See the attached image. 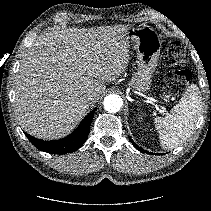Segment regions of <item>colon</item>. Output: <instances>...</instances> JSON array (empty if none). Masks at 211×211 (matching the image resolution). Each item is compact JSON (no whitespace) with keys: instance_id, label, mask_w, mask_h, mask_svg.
Segmentation results:
<instances>
[{"instance_id":"5ec220e1","label":"colon","mask_w":211,"mask_h":211,"mask_svg":"<svg viewBox=\"0 0 211 211\" xmlns=\"http://www.w3.org/2000/svg\"><path fill=\"white\" fill-rule=\"evenodd\" d=\"M162 62L168 67L174 68L165 76V81L173 94H181L187 87L191 73L186 69H175L186 62L185 51L179 42H170L162 54Z\"/></svg>"}]
</instances>
